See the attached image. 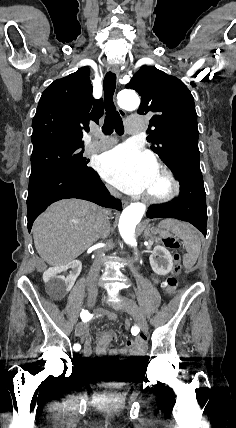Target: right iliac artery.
Segmentation results:
<instances>
[{"mask_svg":"<svg viewBox=\"0 0 236 428\" xmlns=\"http://www.w3.org/2000/svg\"><path fill=\"white\" fill-rule=\"evenodd\" d=\"M80 317L83 322H88L92 318V315L87 310L82 309V312L80 313ZM73 349L75 351H79L81 349V345L74 344Z\"/></svg>","mask_w":236,"mask_h":428,"instance_id":"right-iliac-artery-1","label":"right iliac artery"}]
</instances>
